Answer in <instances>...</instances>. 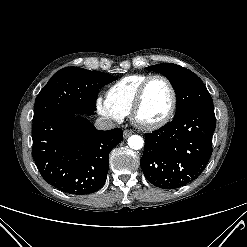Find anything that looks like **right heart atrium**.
I'll return each instance as SVG.
<instances>
[{
    "mask_svg": "<svg viewBox=\"0 0 247 247\" xmlns=\"http://www.w3.org/2000/svg\"><path fill=\"white\" fill-rule=\"evenodd\" d=\"M96 108L100 115L109 120L120 122L124 118V116L110 104L107 98L99 96L96 99Z\"/></svg>",
    "mask_w": 247,
    "mask_h": 247,
    "instance_id": "right-heart-atrium-1",
    "label": "right heart atrium"
}]
</instances>
